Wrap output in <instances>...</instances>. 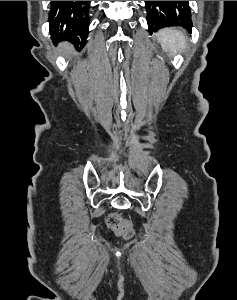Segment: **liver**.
Segmentation results:
<instances>
[{
	"mask_svg": "<svg viewBox=\"0 0 237 300\" xmlns=\"http://www.w3.org/2000/svg\"><path fill=\"white\" fill-rule=\"evenodd\" d=\"M59 47L62 51H65V53H72L73 51V47L70 43H60Z\"/></svg>",
	"mask_w": 237,
	"mask_h": 300,
	"instance_id": "6515ba94",
	"label": "liver"
}]
</instances>
